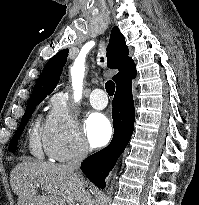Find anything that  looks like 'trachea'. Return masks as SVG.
<instances>
[{"label":"trachea","instance_id":"3493384b","mask_svg":"<svg viewBox=\"0 0 199 205\" xmlns=\"http://www.w3.org/2000/svg\"><path fill=\"white\" fill-rule=\"evenodd\" d=\"M105 89L108 95L113 96L115 92V84L113 81H107L105 84Z\"/></svg>","mask_w":199,"mask_h":205}]
</instances>
